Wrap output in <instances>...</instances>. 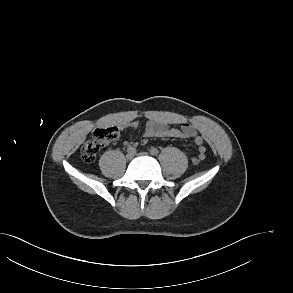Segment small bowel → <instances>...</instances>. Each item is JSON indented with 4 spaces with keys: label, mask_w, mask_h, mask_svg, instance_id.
Wrapping results in <instances>:
<instances>
[{
    "label": "small bowel",
    "mask_w": 293,
    "mask_h": 293,
    "mask_svg": "<svg viewBox=\"0 0 293 293\" xmlns=\"http://www.w3.org/2000/svg\"><path fill=\"white\" fill-rule=\"evenodd\" d=\"M121 127L137 128L138 122L124 123ZM144 133L146 137L192 138L199 146V152L206 150L203 146V138L197 133L194 126L189 123H183L179 128H174L166 118L150 113L147 115Z\"/></svg>",
    "instance_id": "c3829d8e"
}]
</instances>
